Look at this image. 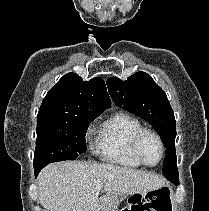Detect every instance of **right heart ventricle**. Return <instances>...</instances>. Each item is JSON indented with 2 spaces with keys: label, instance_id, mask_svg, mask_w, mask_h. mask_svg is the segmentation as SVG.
I'll return each instance as SVG.
<instances>
[{
  "label": "right heart ventricle",
  "instance_id": "1",
  "mask_svg": "<svg viewBox=\"0 0 209 211\" xmlns=\"http://www.w3.org/2000/svg\"><path fill=\"white\" fill-rule=\"evenodd\" d=\"M141 127L133 116L124 112L114 113L98 125L93 149L105 162L138 168L142 164L132 152L131 141Z\"/></svg>",
  "mask_w": 209,
  "mask_h": 211
}]
</instances>
